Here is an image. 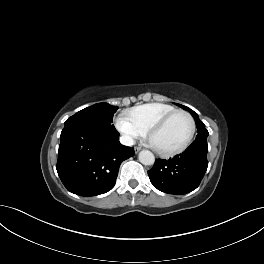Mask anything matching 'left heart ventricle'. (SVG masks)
<instances>
[{
	"label": "left heart ventricle",
	"instance_id": "left-heart-ventricle-1",
	"mask_svg": "<svg viewBox=\"0 0 264 264\" xmlns=\"http://www.w3.org/2000/svg\"><path fill=\"white\" fill-rule=\"evenodd\" d=\"M190 131L189 119L185 115H177L152 137V144L164 151L177 148L187 140Z\"/></svg>",
	"mask_w": 264,
	"mask_h": 264
}]
</instances>
